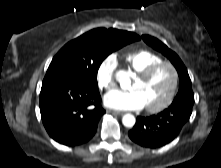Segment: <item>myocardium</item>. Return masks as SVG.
<instances>
[{"instance_id":"1","label":"myocardium","mask_w":221,"mask_h":168,"mask_svg":"<svg viewBox=\"0 0 221 168\" xmlns=\"http://www.w3.org/2000/svg\"><path fill=\"white\" fill-rule=\"evenodd\" d=\"M162 66H167L171 69L172 76H173L172 85H171V88H170V91H169L167 97L161 103H159L158 105H155V106H146V110L150 113L160 112V111L166 109L173 102V100L176 96L178 87H179V81H180L179 71H178L176 65L174 63H172L171 61L162 60V61H159L157 63L150 65L149 67H147L143 71L137 73V77L140 80H147Z\"/></svg>"}]
</instances>
